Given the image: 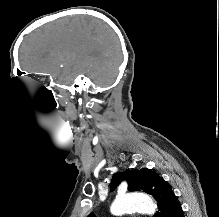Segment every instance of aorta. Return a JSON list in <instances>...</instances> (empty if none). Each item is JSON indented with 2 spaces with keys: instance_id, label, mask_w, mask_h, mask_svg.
Wrapping results in <instances>:
<instances>
[{
  "instance_id": "aorta-1",
  "label": "aorta",
  "mask_w": 219,
  "mask_h": 217,
  "mask_svg": "<svg viewBox=\"0 0 219 217\" xmlns=\"http://www.w3.org/2000/svg\"><path fill=\"white\" fill-rule=\"evenodd\" d=\"M156 207L154 201L147 195H125L114 200L110 211L115 216L134 211L153 214Z\"/></svg>"
}]
</instances>
